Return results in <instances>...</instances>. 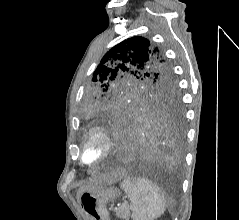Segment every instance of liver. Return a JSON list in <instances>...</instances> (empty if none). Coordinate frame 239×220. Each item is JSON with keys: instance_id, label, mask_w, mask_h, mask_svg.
I'll return each instance as SVG.
<instances>
[{"instance_id": "liver-1", "label": "liver", "mask_w": 239, "mask_h": 220, "mask_svg": "<svg viewBox=\"0 0 239 220\" xmlns=\"http://www.w3.org/2000/svg\"><path fill=\"white\" fill-rule=\"evenodd\" d=\"M124 176H125V174H124V171H122V170H117L115 172H112L111 174L103 175V176L99 177L97 180H93L89 184L82 186L78 190L77 197H78V199H80V196L82 193H84L85 191H88V190L95 189L98 184H103V183L113 184V183H116L117 181H120Z\"/></svg>"}]
</instances>
